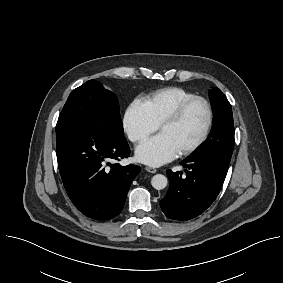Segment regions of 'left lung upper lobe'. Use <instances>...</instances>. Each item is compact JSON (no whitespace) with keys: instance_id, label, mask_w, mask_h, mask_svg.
<instances>
[{"instance_id":"obj_1","label":"left lung upper lobe","mask_w":283,"mask_h":283,"mask_svg":"<svg viewBox=\"0 0 283 283\" xmlns=\"http://www.w3.org/2000/svg\"><path fill=\"white\" fill-rule=\"evenodd\" d=\"M209 98L214 112L212 130L209 138L191 155H213L230 162L234 148L232 107L217 87L209 91Z\"/></svg>"}]
</instances>
